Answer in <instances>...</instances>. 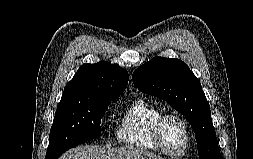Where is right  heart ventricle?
Wrapping results in <instances>:
<instances>
[{"label":"right heart ventricle","instance_id":"obj_1","mask_svg":"<svg viewBox=\"0 0 253 159\" xmlns=\"http://www.w3.org/2000/svg\"><path fill=\"white\" fill-rule=\"evenodd\" d=\"M163 111L155 104L137 99L127 106L116 126V137L124 145L158 151L152 139V127Z\"/></svg>","mask_w":253,"mask_h":159}]
</instances>
